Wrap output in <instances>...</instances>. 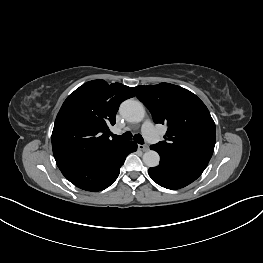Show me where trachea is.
I'll return each instance as SVG.
<instances>
[{
	"label": "trachea",
	"instance_id": "1",
	"mask_svg": "<svg viewBox=\"0 0 263 263\" xmlns=\"http://www.w3.org/2000/svg\"><path fill=\"white\" fill-rule=\"evenodd\" d=\"M112 137L116 139H122V140H130L133 138L134 141H136L138 144H144V139L140 134H135L133 136L131 132H125L122 135L113 134Z\"/></svg>",
	"mask_w": 263,
	"mask_h": 263
}]
</instances>
